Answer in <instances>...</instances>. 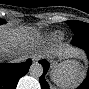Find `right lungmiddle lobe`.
<instances>
[{"label": "right lung middle lobe", "instance_id": "right-lung-middle-lobe-1", "mask_svg": "<svg viewBox=\"0 0 89 89\" xmlns=\"http://www.w3.org/2000/svg\"><path fill=\"white\" fill-rule=\"evenodd\" d=\"M4 23L2 20L0 21V24Z\"/></svg>", "mask_w": 89, "mask_h": 89}]
</instances>
